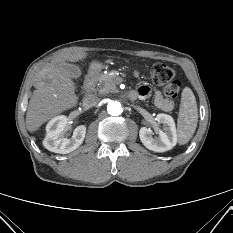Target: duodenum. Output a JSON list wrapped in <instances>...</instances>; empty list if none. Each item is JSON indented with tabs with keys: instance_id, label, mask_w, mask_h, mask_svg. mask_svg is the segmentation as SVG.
I'll return each instance as SVG.
<instances>
[{
	"instance_id": "duodenum-1",
	"label": "duodenum",
	"mask_w": 233,
	"mask_h": 233,
	"mask_svg": "<svg viewBox=\"0 0 233 233\" xmlns=\"http://www.w3.org/2000/svg\"><path fill=\"white\" fill-rule=\"evenodd\" d=\"M98 72H99V69H98L97 66H93V67L89 70V72H88V74H87V76H86V79H85V81H84V85H83V89H84V91H85L86 93H88V94L90 93V91H91V89H92V87H93L94 79H95L96 75L98 74ZM129 97H130L131 99H136L137 95H136V93H135L134 91H131V92L129 93Z\"/></svg>"
}]
</instances>
